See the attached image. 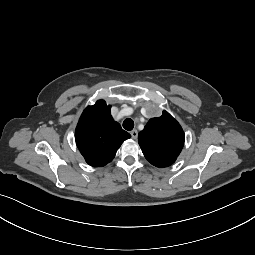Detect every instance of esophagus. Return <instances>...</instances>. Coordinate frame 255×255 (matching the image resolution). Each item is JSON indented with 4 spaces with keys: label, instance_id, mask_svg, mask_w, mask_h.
<instances>
[{
    "label": "esophagus",
    "instance_id": "obj_1",
    "mask_svg": "<svg viewBox=\"0 0 255 255\" xmlns=\"http://www.w3.org/2000/svg\"><path fill=\"white\" fill-rule=\"evenodd\" d=\"M130 134H131V136H132V138L133 139H136L137 138V136H138V132H137V130H132L131 132H130Z\"/></svg>",
    "mask_w": 255,
    "mask_h": 255
}]
</instances>
